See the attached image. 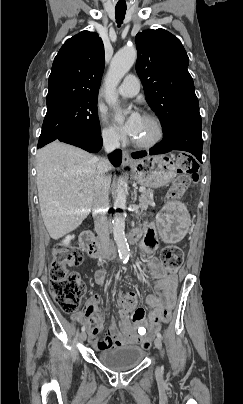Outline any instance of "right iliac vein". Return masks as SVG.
<instances>
[{
	"mask_svg": "<svg viewBox=\"0 0 243 404\" xmlns=\"http://www.w3.org/2000/svg\"><path fill=\"white\" fill-rule=\"evenodd\" d=\"M86 337H87V335H86V333L83 331V332L81 333V335H80L81 341H85V340H86Z\"/></svg>",
	"mask_w": 243,
	"mask_h": 404,
	"instance_id": "right-iliac-vein-1",
	"label": "right iliac vein"
}]
</instances>
